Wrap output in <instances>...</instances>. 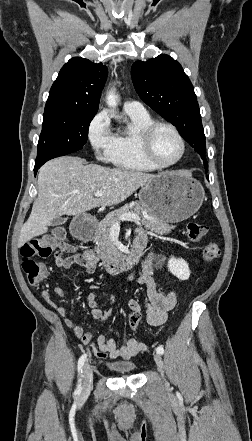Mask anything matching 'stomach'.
Wrapping results in <instances>:
<instances>
[{"mask_svg":"<svg viewBox=\"0 0 252 441\" xmlns=\"http://www.w3.org/2000/svg\"><path fill=\"white\" fill-rule=\"evenodd\" d=\"M204 198L202 185L181 171L160 173L146 182L139 192V202L148 213L167 223L191 217Z\"/></svg>","mask_w":252,"mask_h":441,"instance_id":"0dacf381","label":"stomach"}]
</instances>
